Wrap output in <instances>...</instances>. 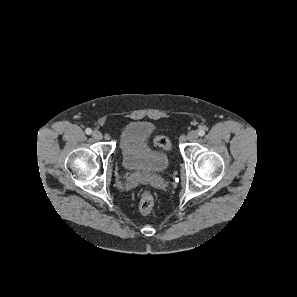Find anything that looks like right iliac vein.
I'll return each instance as SVG.
<instances>
[{"instance_id": "63e3f726", "label": "right iliac vein", "mask_w": 297, "mask_h": 297, "mask_svg": "<svg viewBox=\"0 0 297 297\" xmlns=\"http://www.w3.org/2000/svg\"><path fill=\"white\" fill-rule=\"evenodd\" d=\"M92 137L95 139V140H101L103 138V135L100 131L98 130H95L92 132Z\"/></svg>"}]
</instances>
